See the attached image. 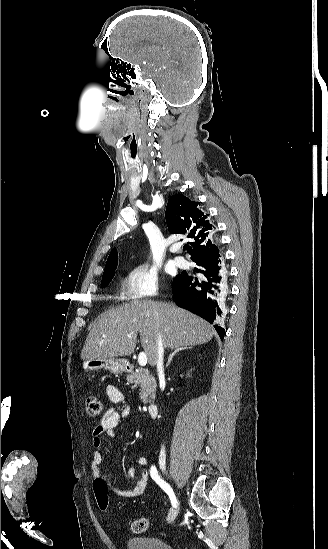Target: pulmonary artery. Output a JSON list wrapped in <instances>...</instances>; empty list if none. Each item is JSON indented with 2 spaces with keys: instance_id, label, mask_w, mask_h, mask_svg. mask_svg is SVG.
<instances>
[{
  "instance_id": "pulmonary-artery-1",
  "label": "pulmonary artery",
  "mask_w": 328,
  "mask_h": 549,
  "mask_svg": "<svg viewBox=\"0 0 328 549\" xmlns=\"http://www.w3.org/2000/svg\"><path fill=\"white\" fill-rule=\"evenodd\" d=\"M173 262L179 268H185L188 265V261L182 256H175Z\"/></svg>"
}]
</instances>
